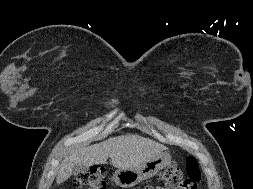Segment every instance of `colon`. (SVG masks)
<instances>
[{"instance_id":"5ec220e1","label":"colon","mask_w":253,"mask_h":189,"mask_svg":"<svg viewBox=\"0 0 253 189\" xmlns=\"http://www.w3.org/2000/svg\"><path fill=\"white\" fill-rule=\"evenodd\" d=\"M160 178L166 189H196L201 180V170L194 156L187 158L185 172L172 164L164 169ZM75 189H106V171L102 166H93L74 181Z\"/></svg>"}]
</instances>
